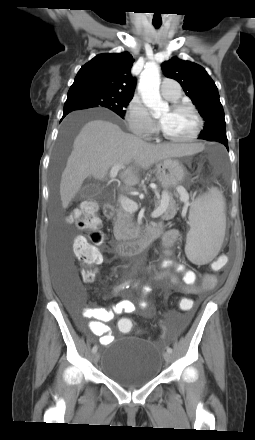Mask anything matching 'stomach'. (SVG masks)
Listing matches in <instances>:
<instances>
[{"label": "stomach", "instance_id": "0dacf381", "mask_svg": "<svg viewBox=\"0 0 255 440\" xmlns=\"http://www.w3.org/2000/svg\"><path fill=\"white\" fill-rule=\"evenodd\" d=\"M185 167L176 159L168 158L157 164L156 176L165 189L181 184L185 177Z\"/></svg>", "mask_w": 255, "mask_h": 440}]
</instances>
